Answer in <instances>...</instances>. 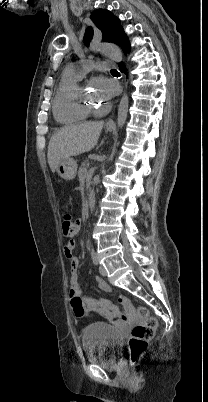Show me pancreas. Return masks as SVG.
I'll use <instances>...</instances> for the list:
<instances>
[{
  "mask_svg": "<svg viewBox=\"0 0 208 402\" xmlns=\"http://www.w3.org/2000/svg\"><path fill=\"white\" fill-rule=\"evenodd\" d=\"M88 158H91V156H88ZM87 162H88V160H85V162H82L81 168H79L80 172H81V170H84V168H88Z\"/></svg>",
  "mask_w": 208,
  "mask_h": 402,
  "instance_id": "cf45deb5",
  "label": "pancreas"
}]
</instances>
